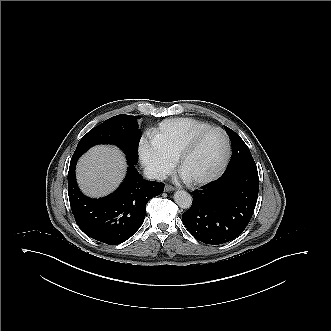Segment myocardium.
<instances>
[{
	"instance_id": "f54148a6",
	"label": "myocardium",
	"mask_w": 331,
	"mask_h": 331,
	"mask_svg": "<svg viewBox=\"0 0 331 331\" xmlns=\"http://www.w3.org/2000/svg\"><path fill=\"white\" fill-rule=\"evenodd\" d=\"M211 132H218L222 135L224 140V155L223 159L219 165V167L210 175L206 177H198V178H191L190 182L193 184H206L209 182H212L216 180L218 177H220L225 169L227 168V165L229 163L230 159V141L229 137L226 134V132L219 128V127H209L207 129H204L198 133H196L194 136H192L181 148L178 159H177V168L180 172H182V164L186 156L189 154V152L195 147L197 142L205 135Z\"/></svg>"
}]
</instances>
